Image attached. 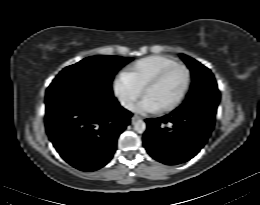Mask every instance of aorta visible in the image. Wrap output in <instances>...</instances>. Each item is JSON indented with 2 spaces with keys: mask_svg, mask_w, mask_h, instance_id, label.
I'll return each mask as SVG.
<instances>
[{
  "mask_svg": "<svg viewBox=\"0 0 260 205\" xmlns=\"http://www.w3.org/2000/svg\"><path fill=\"white\" fill-rule=\"evenodd\" d=\"M134 130L137 132V133H140L142 134L145 130H146V124L143 120L139 119V120H136L134 123Z\"/></svg>",
  "mask_w": 260,
  "mask_h": 205,
  "instance_id": "762f6f07",
  "label": "aorta"
}]
</instances>
